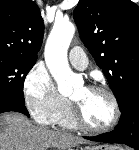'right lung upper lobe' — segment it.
Segmentation results:
<instances>
[{
	"label": "right lung upper lobe",
	"instance_id": "1",
	"mask_svg": "<svg viewBox=\"0 0 139 150\" xmlns=\"http://www.w3.org/2000/svg\"><path fill=\"white\" fill-rule=\"evenodd\" d=\"M43 34V20L35 2L0 0V52L37 59Z\"/></svg>",
	"mask_w": 139,
	"mask_h": 150
}]
</instances>
